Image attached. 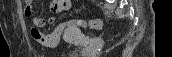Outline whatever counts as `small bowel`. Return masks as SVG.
<instances>
[{"label": "small bowel", "mask_w": 172, "mask_h": 57, "mask_svg": "<svg viewBox=\"0 0 172 57\" xmlns=\"http://www.w3.org/2000/svg\"><path fill=\"white\" fill-rule=\"evenodd\" d=\"M25 2L27 4L26 8L28 7L31 10V14L27 15L25 13V17L32 18L33 17V10L31 8L32 1L26 0ZM69 5H70V1L54 0L49 3V8L53 12H61V11L66 10L69 7ZM54 21H55V18H50L46 20L42 16L33 17L34 27L31 30V34L36 41H38L40 44L48 48H54L57 46L62 33L61 32L57 33L56 31H54L51 34H44L42 33L41 28L44 27L47 23H53Z\"/></svg>", "instance_id": "obj_1"}]
</instances>
